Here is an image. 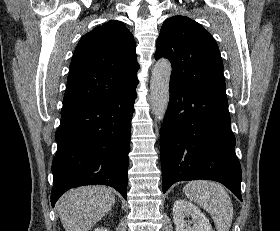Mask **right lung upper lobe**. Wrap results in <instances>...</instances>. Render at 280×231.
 Returning a JSON list of instances; mask_svg holds the SVG:
<instances>
[{
  "mask_svg": "<svg viewBox=\"0 0 280 231\" xmlns=\"http://www.w3.org/2000/svg\"><path fill=\"white\" fill-rule=\"evenodd\" d=\"M135 49L133 35L117 20L85 34L71 60L62 112L134 91Z\"/></svg>",
  "mask_w": 280,
  "mask_h": 231,
  "instance_id": "1",
  "label": "right lung upper lobe"
}]
</instances>
